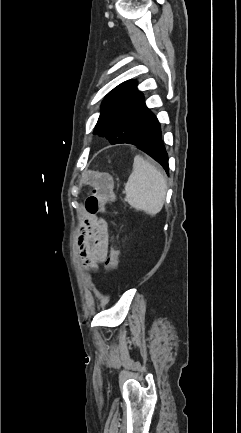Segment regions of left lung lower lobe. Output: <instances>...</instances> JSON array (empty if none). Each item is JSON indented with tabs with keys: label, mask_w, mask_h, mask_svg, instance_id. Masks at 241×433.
<instances>
[{
	"label": "left lung lower lobe",
	"mask_w": 241,
	"mask_h": 433,
	"mask_svg": "<svg viewBox=\"0 0 241 433\" xmlns=\"http://www.w3.org/2000/svg\"><path fill=\"white\" fill-rule=\"evenodd\" d=\"M126 143L133 144L150 155L169 173L168 155L161 138V128L158 120L145 133L130 139Z\"/></svg>",
	"instance_id": "left-lung-lower-lobe-1"
}]
</instances>
